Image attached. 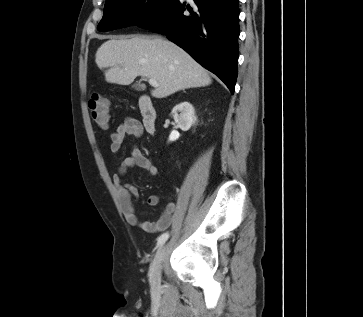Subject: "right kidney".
Here are the masks:
<instances>
[{
  "label": "right kidney",
  "instance_id": "obj_1",
  "mask_svg": "<svg viewBox=\"0 0 363 317\" xmlns=\"http://www.w3.org/2000/svg\"><path fill=\"white\" fill-rule=\"evenodd\" d=\"M172 114L178 127L183 131H188L197 120L194 107L189 102L176 105L172 110Z\"/></svg>",
  "mask_w": 363,
  "mask_h": 317
}]
</instances>
